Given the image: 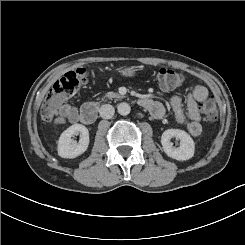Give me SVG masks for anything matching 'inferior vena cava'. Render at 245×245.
Instances as JSON below:
<instances>
[{
	"label": "inferior vena cava",
	"instance_id": "obj_1",
	"mask_svg": "<svg viewBox=\"0 0 245 245\" xmlns=\"http://www.w3.org/2000/svg\"><path fill=\"white\" fill-rule=\"evenodd\" d=\"M114 107L110 104L102 105L100 108V116L103 119H111L114 115Z\"/></svg>",
	"mask_w": 245,
	"mask_h": 245
}]
</instances>
